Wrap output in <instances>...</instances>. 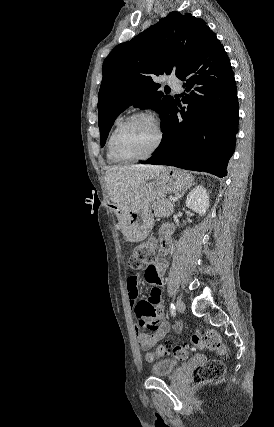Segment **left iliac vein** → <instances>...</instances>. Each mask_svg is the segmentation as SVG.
Listing matches in <instances>:
<instances>
[{"instance_id": "1", "label": "left iliac vein", "mask_w": 274, "mask_h": 427, "mask_svg": "<svg viewBox=\"0 0 274 427\" xmlns=\"http://www.w3.org/2000/svg\"><path fill=\"white\" fill-rule=\"evenodd\" d=\"M176 308L179 312H184L185 311V304L183 301L181 300H177L176 302Z\"/></svg>"}]
</instances>
